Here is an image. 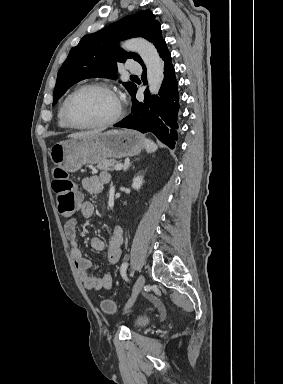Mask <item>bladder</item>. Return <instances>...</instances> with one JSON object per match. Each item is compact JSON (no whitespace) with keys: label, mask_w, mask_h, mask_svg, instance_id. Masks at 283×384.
I'll return each mask as SVG.
<instances>
[{"label":"bladder","mask_w":283,"mask_h":384,"mask_svg":"<svg viewBox=\"0 0 283 384\" xmlns=\"http://www.w3.org/2000/svg\"><path fill=\"white\" fill-rule=\"evenodd\" d=\"M149 319L150 317L145 312H138L135 314V326L137 328H143Z\"/></svg>","instance_id":"bladder-1"}]
</instances>
